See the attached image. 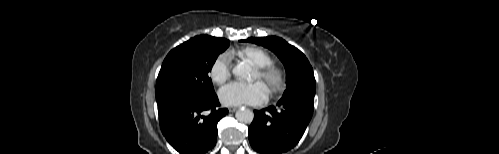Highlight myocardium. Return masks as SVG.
<instances>
[{"label":"myocardium","instance_id":"myocardium-1","mask_svg":"<svg viewBox=\"0 0 499 154\" xmlns=\"http://www.w3.org/2000/svg\"><path fill=\"white\" fill-rule=\"evenodd\" d=\"M257 73L271 95L278 94L284 89L286 75L280 66L271 63L257 68Z\"/></svg>","mask_w":499,"mask_h":154}]
</instances>
